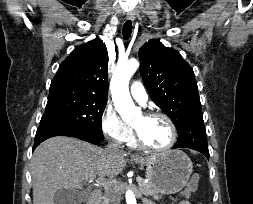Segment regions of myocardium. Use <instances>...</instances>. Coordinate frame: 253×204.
I'll use <instances>...</instances> for the list:
<instances>
[{"instance_id":"myocardium-1","label":"myocardium","mask_w":253,"mask_h":204,"mask_svg":"<svg viewBox=\"0 0 253 204\" xmlns=\"http://www.w3.org/2000/svg\"><path fill=\"white\" fill-rule=\"evenodd\" d=\"M143 116L146 118H153V117L163 118L168 123V125L170 127L171 139H170L169 143L164 147H161V148L151 147L147 143H145V141L142 139L139 131L133 126L134 137H135V141H136L137 145L144 150H147L150 152H156V153L166 152V151L170 150L175 145V143L177 141V135H178L176 126H175L174 122L172 121V119L167 114L162 113V112H157V111L146 112L143 114Z\"/></svg>"}]
</instances>
